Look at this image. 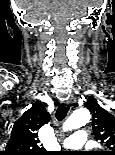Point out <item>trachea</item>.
<instances>
[{"label":"trachea","instance_id":"3493384b","mask_svg":"<svg viewBox=\"0 0 115 155\" xmlns=\"http://www.w3.org/2000/svg\"><path fill=\"white\" fill-rule=\"evenodd\" d=\"M69 110V106H65L63 104H60L59 107L56 110V118L58 121H63V119L66 117Z\"/></svg>","mask_w":115,"mask_h":155}]
</instances>
